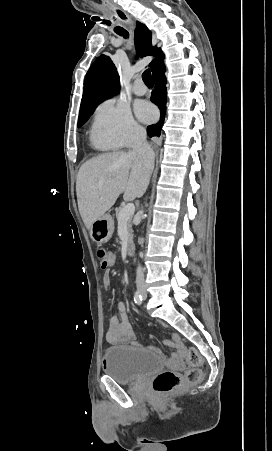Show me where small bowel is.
Listing matches in <instances>:
<instances>
[{
  "instance_id": "c3829d8e",
  "label": "small bowel",
  "mask_w": 272,
  "mask_h": 451,
  "mask_svg": "<svg viewBox=\"0 0 272 451\" xmlns=\"http://www.w3.org/2000/svg\"><path fill=\"white\" fill-rule=\"evenodd\" d=\"M114 262V256H113ZM111 282L109 271H105L103 275V284L108 287ZM118 314L111 317L109 321V328L106 332L105 338L109 344H130L135 347H141V344L137 340L136 333L130 322L129 314L126 305L123 302L117 305ZM167 346L173 348H183L185 345L182 341L180 334L174 332L170 335V340L166 342ZM150 349L157 353L162 354L158 347H150Z\"/></svg>"
}]
</instances>
